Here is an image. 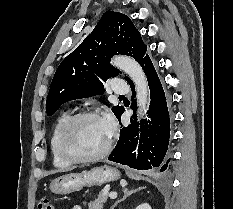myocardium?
Returning a JSON list of instances; mask_svg holds the SVG:
<instances>
[{
  "instance_id": "obj_1",
  "label": "myocardium",
  "mask_w": 233,
  "mask_h": 209,
  "mask_svg": "<svg viewBox=\"0 0 233 209\" xmlns=\"http://www.w3.org/2000/svg\"><path fill=\"white\" fill-rule=\"evenodd\" d=\"M85 118H100V116L96 112L91 110L80 111L69 117L61 132L59 141L60 153L64 159L71 163H90L100 160L109 153L112 147V138L111 135H108V140L105 146L96 154L90 156H78L70 151L68 144L73 128L80 120Z\"/></svg>"
}]
</instances>
